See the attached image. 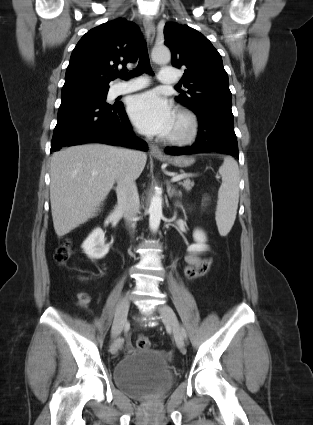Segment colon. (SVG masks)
<instances>
[{"instance_id": "obj_1", "label": "colon", "mask_w": 313, "mask_h": 425, "mask_svg": "<svg viewBox=\"0 0 313 425\" xmlns=\"http://www.w3.org/2000/svg\"><path fill=\"white\" fill-rule=\"evenodd\" d=\"M70 254H71V244L69 241H64L56 249L54 254V259L57 264L65 265L70 258ZM211 266H212L211 259L204 260L200 267L188 266L183 271L184 278L188 281H192L206 274L211 269ZM136 346L137 348L141 350H146L151 347V342L148 337L144 335H140L136 339Z\"/></svg>"}]
</instances>
